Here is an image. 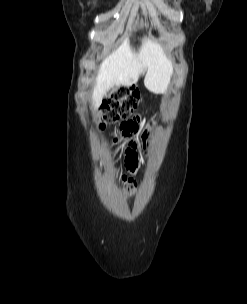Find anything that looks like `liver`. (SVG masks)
<instances>
[{
	"instance_id": "6515ba94",
	"label": "liver",
	"mask_w": 247,
	"mask_h": 304,
	"mask_svg": "<svg viewBox=\"0 0 247 304\" xmlns=\"http://www.w3.org/2000/svg\"><path fill=\"white\" fill-rule=\"evenodd\" d=\"M145 71V87L153 93L166 92L173 66L161 45L144 37L140 48L135 51L126 38L100 65L92 93L94 110L108 89L120 85L129 87L137 83Z\"/></svg>"
}]
</instances>
